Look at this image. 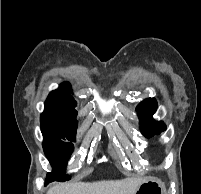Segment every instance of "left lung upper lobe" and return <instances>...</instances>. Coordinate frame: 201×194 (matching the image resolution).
I'll list each match as a JSON object with an SVG mask.
<instances>
[{"mask_svg":"<svg viewBox=\"0 0 201 194\" xmlns=\"http://www.w3.org/2000/svg\"><path fill=\"white\" fill-rule=\"evenodd\" d=\"M157 102L154 98L143 100L136 108L140 119L141 132L146 137L160 134L166 130V125L161 121H155L153 114L156 112Z\"/></svg>","mask_w":201,"mask_h":194,"instance_id":"left-lung-upper-lobe-1","label":"left lung upper lobe"}]
</instances>
